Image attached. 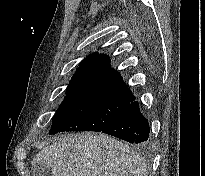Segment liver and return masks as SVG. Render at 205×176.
Masks as SVG:
<instances>
[{
	"label": "liver",
	"mask_w": 205,
	"mask_h": 176,
	"mask_svg": "<svg viewBox=\"0 0 205 176\" xmlns=\"http://www.w3.org/2000/svg\"><path fill=\"white\" fill-rule=\"evenodd\" d=\"M52 176H147L145 159L127 144L99 133H70L55 138L32 160Z\"/></svg>",
	"instance_id": "6515ba94"
}]
</instances>
